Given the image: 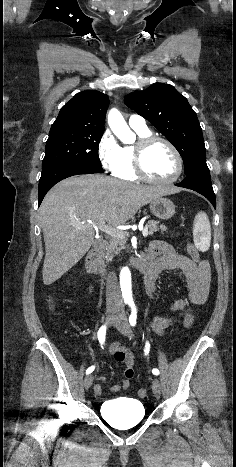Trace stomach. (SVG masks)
<instances>
[{"label": "stomach", "instance_id": "obj_1", "mask_svg": "<svg viewBox=\"0 0 236 467\" xmlns=\"http://www.w3.org/2000/svg\"><path fill=\"white\" fill-rule=\"evenodd\" d=\"M150 210L157 218L168 220L175 214V205L170 199L159 197L150 202Z\"/></svg>", "mask_w": 236, "mask_h": 467}]
</instances>
